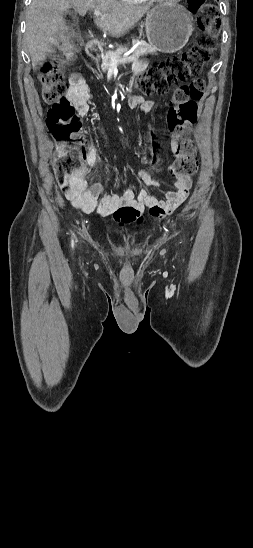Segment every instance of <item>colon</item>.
I'll use <instances>...</instances> for the list:
<instances>
[{"label":"colon","instance_id":"obj_1","mask_svg":"<svg viewBox=\"0 0 253 548\" xmlns=\"http://www.w3.org/2000/svg\"><path fill=\"white\" fill-rule=\"evenodd\" d=\"M188 4L197 13L200 34L196 44L178 56L154 63L138 79L139 91L147 96L167 94L172 87L189 81L174 93L173 104L167 116L169 134L180 137L176 158L169 171L172 175L185 177H190L197 171L198 161L193 142L182 137L196 121V101L202 98L205 88L200 74L216 49L220 31V20L211 3L207 0H188ZM75 54V43L67 45L61 53H55L41 62L39 74L43 100L51 105L46 121L57 142L55 167L58 182L63 186L81 168L76 144L81 122L74 106L65 97V69L75 60ZM149 161L155 167L161 159L152 157Z\"/></svg>","mask_w":253,"mask_h":548}]
</instances>
